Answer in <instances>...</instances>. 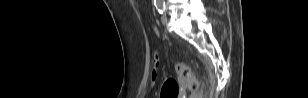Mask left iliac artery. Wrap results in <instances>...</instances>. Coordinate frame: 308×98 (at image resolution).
<instances>
[{
	"mask_svg": "<svg viewBox=\"0 0 308 98\" xmlns=\"http://www.w3.org/2000/svg\"><path fill=\"white\" fill-rule=\"evenodd\" d=\"M158 12L160 14H163V12L165 11V4L163 2H158L157 4H155Z\"/></svg>",
	"mask_w": 308,
	"mask_h": 98,
	"instance_id": "left-iliac-artery-1",
	"label": "left iliac artery"
}]
</instances>
